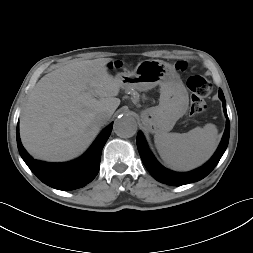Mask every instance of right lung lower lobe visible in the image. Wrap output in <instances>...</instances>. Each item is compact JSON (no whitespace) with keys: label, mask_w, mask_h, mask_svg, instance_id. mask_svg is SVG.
Listing matches in <instances>:
<instances>
[{"label":"right lung lower lobe","mask_w":253,"mask_h":253,"mask_svg":"<svg viewBox=\"0 0 253 253\" xmlns=\"http://www.w3.org/2000/svg\"><path fill=\"white\" fill-rule=\"evenodd\" d=\"M113 123L97 137L89 150L80 158L66 163H47L35 160L24 149L17 126L18 150L30 170L46 185L59 190H74L91 182L98 174L103 146L112 131Z\"/></svg>","instance_id":"obj_1"}]
</instances>
